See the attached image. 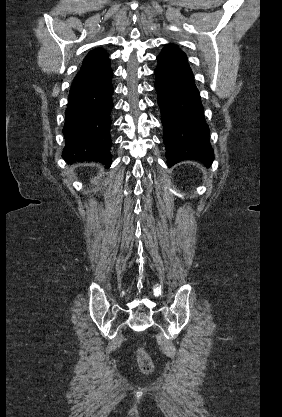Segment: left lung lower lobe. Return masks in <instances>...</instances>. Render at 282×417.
Masks as SVG:
<instances>
[{"label": "left lung lower lobe", "mask_w": 282, "mask_h": 417, "mask_svg": "<svg viewBox=\"0 0 282 417\" xmlns=\"http://www.w3.org/2000/svg\"><path fill=\"white\" fill-rule=\"evenodd\" d=\"M155 89L164 129L169 167L184 160H198L210 167L214 152L204 119L199 91L187 57L177 46L167 45L157 57Z\"/></svg>", "instance_id": "left-lung-lower-lobe-1"}]
</instances>
